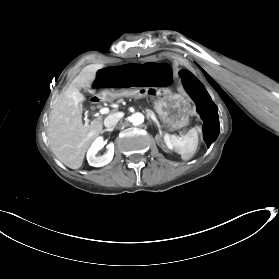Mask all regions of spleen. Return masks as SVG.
<instances>
[{
    "label": "spleen",
    "mask_w": 279,
    "mask_h": 279,
    "mask_svg": "<svg viewBox=\"0 0 279 279\" xmlns=\"http://www.w3.org/2000/svg\"><path fill=\"white\" fill-rule=\"evenodd\" d=\"M169 143L173 151L181 156L183 160H189L195 153L197 147L196 130H190L183 139L175 135L168 136Z\"/></svg>",
    "instance_id": "3e777b00"
}]
</instances>
